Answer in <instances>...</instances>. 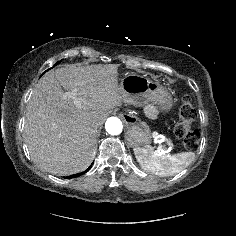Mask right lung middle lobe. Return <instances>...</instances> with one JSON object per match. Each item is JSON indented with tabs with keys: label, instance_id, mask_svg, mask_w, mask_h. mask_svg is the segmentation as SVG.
<instances>
[{
	"label": "right lung middle lobe",
	"instance_id": "1",
	"mask_svg": "<svg viewBox=\"0 0 236 236\" xmlns=\"http://www.w3.org/2000/svg\"><path fill=\"white\" fill-rule=\"evenodd\" d=\"M60 62H61V60H60L59 62H57L55 65H57V64L60 63ZM55 65H54V66H55Z\"/></svg>",
	"mask_w": 236,
	"mask_h": 236
}]
</instances>
